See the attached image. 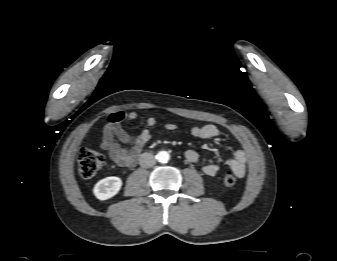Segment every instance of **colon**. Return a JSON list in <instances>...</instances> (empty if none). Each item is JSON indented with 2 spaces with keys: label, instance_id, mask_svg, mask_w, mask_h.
<instances>
[{
  "label": "colon",
  "instance_id": "5ec220e1",
  "mask_svg": "<svg viewBox=\"0 0 337 261\" xmlns=\"http://www.w3.org/2000/svg\"><path fill=\"white\" fill-rule=\"evenodd\" d=\"M77 161L79 174L84 179L96 175L104 165L103 155L96 150L88 148L80 149ZM223 182L227 187H232L236 184V178L230 171H228L223 176Z\"/></svg>",
  "mask_w": 337,
  "mask_h": 261
}]
</instances>
